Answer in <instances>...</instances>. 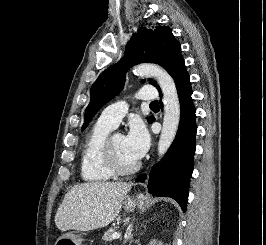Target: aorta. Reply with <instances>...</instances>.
Returning <instances> with one entry per match:
<instances>
[{
  "label": "aorta",
  "instance_id": "obj_1",
  "mask_svg": "<svg viewBox=\"0 0 266 245\" xmlns=\"http://www.w3.org/2000/svg\"><path fill=\"white\" fill-rule=\"evenodd\" d=\"M134 72L142 76H155L163 92L164 116L158 143V155L163 157L171 147L180 123V102L176 84L167 70L158 64H139L135 66Z\"/></svg>",
  "mask_w": 266,
  "mask_h": 245
}]
</instances>
